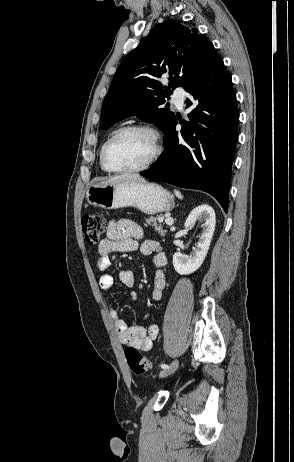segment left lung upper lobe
<instances>
[{
    "mask_svg": "<svg viewBox=\"0 0 294 462\" xmlns=\"http://www.w3.org/2000/svg\"><path fill=\"white\" fill-rule=\"evenodd\" d=\"M213 44L179 21L167 20L153 28L147 39L122 61L102 107V129L136 114L165 134L175 114L159 108L185 87L212 61L219 59ZM169 75V87L159 78Z\"/></svg>",
    "mask_w": 294,
    "mask_h": 462,
    "instance_id": "left-lung-upper-lobe-1",
    "label": "left lung upper lobe"
}]
</instances>
